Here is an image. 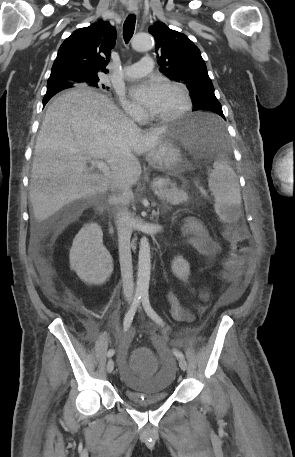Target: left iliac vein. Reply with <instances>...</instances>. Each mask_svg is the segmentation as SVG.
<instances>
[{
    "label": "left iliac vein",
    "instance_id": "obj_1",
    "mask_svg": "<svg viewBox=\"0 0 295 457\" xmlns=\"http://www.w3.org/2000/svg\"><path fill=\"white\" fill-rule=\"evenodd\" d=\"M178 361H179V366H180L181 370L186 371L187 362L185 361V359L184 358H178Z\"/></svg>",
    "mask_w": 295,
    "mask_h": 457
}]
</instances>
